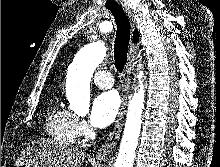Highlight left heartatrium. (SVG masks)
Returning <instances> with one entry per match:
<instances>
[{
	"label": "left heart atrium",
	"instance_id": "left-heart-atrium-1",
	"mask_svg": "<svg viewBox=\"0 0 220 167\" xmlns=\"http://www.w3.org/2000/svg\"><path fill=\"white\" fill-rule=\"evenodd\" d=\"M120 108L117 92L107 91L99 94L92 105L91 123L97 128L110 125L116 118Z\"/></svg>",
	"mask_w": 220,
	"mask_h": 167
}]
</instances>
